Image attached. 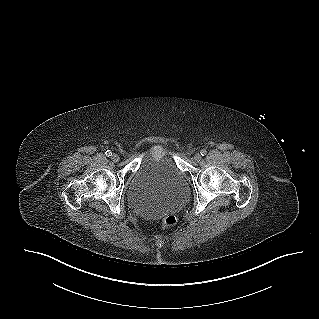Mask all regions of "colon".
<instances>
[{
  "label": "colon",
  "mask_w": 319,
  "mask_h": 319,
  "mask_svg": "<svg viewBox=\"0 0 319 319\" xmlns=\"http://www.w3.org/2000/svg\"><path fill=\"white\" fill-rule=\"evenodd\" d=\"M177 222V217L175 214L170 213L164 216L161 220V229H168L174 226Z\"/></svg>",
  "instance_id": "5ec220e1"
}]
</instances>
